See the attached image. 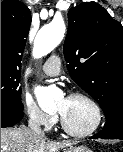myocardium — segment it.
I'll return each instance as SVG.
<instances>
[{
    "mask_svg": "<svg viewBox=\"0 0 123 152\" xmlns=\"http://www.w3.org/2000/svg\"><path fill=\"white\" fill-rule=\"evenodd\" d=\"M68 98H81L90 103V105L93 107L94 112H95V121L93 125L88 128L87 130L84 131H77L72 128H70L67 123L65 122L64 118L59 114L60 116V124L62 129L69 135L74 136V137H87L95 133L98 128L100 127L102 121H103V112L101 109V106L99 103L96 101L95 98H93L91 95L85 93V92H73L71 93Z\"/></svg>",
    "mask_w": 123,
    "mask_h": 152,
    "instance_id": "f54148a6",
    "label": "myocardium"
}]
</instances>
